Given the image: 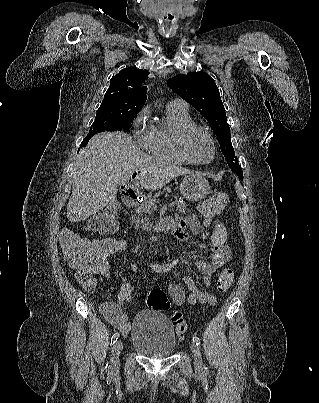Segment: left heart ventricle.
<instances>
[{"mask_svg":"<svg viewBox=\"0 0 319 403\" xmlns=\"http://www.w3.org/2000/svg\"><path fill=\"white\" fill-rule=\"evenodd\" d=\"M189 149L199 161H208L213 155V148L208 138L200 132L193 134L189 140Z\"/></svg>","mask_w":319,"mask_h":403,"instance_id":"b2bd125f","label":"left heart ventricle"}]
</instances>
